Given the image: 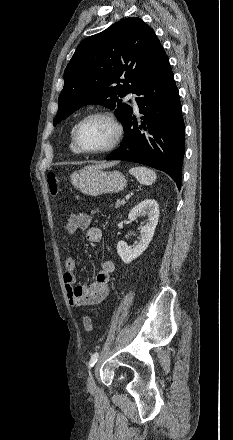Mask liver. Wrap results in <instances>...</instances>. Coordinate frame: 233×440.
Here are the masks:
<instances>
[{
    "label": "liver",
    "instance_id": "6515ba94",
    "mask_svg": "<svg viewBox=\"0 0 233 440\" xmlns=\"http://www.w3.org/2000/svg\"><path fill=\"white\" fill-rule=\"evenodd\" d=\"M114 164H115V163H104V164H99V165L92 166V167L102 169V168H104V167H111V166H113Z\"/></svg>",
    "mask_w": 233,
    "mask_h": 440
}]
</instances>
